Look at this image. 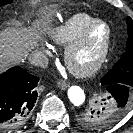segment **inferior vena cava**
<instances>
[{"label":"inferior vena cava","instance_id":"inferior-vena-cava-1","mask_svg":"<svg viewBox=\"0 0 133 133\" xmlns=\"http://www.w3.org/2000/svg\"><path fill=\"white\" fill-rule=\"evenodd\" d=\"M29 61L32 65L46 68L49 60L47 56L41 51H34L30 54Z\"/></svg>","mask_w":133,"mask_h":133}]
</instances>
